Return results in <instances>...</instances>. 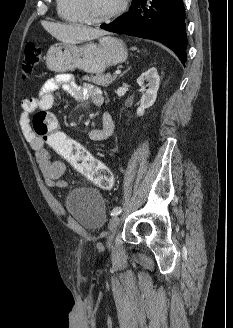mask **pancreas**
I'll return each instance as SVG.
<instances>
[{"label": "pancreas", "mask_w": 233, "mask_h": 328, "mask_svg": "<svg viewBox=\"0 0 233 328\" xmlns=\"http://www.w3.org/2000/svg\"><path fill=\"white\" fill-rule=\"evenodd\" d=\"M117 75H111L110 73L107 74H96V75H84L82 80L89 81L99 86L108 87L112 84Z\"/></svg>", "instance_id": "cf45deb5"}]
</instances>
